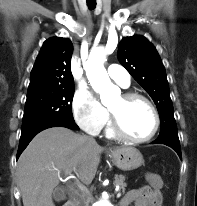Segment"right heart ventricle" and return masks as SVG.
<instances>
[{
	"instance_id": "1",
	"label": "right heart ventricle",
	"mask_w": 197,
	"mask_h": 206,
	"mask_svg": "<svg viewBox=\"0 0 197 206\" xmlns=\"http://www.w3.org/2000/svg\"><path fill=\"white\" fill-rule=\"evenodd\" d=\"M106 135H107L108 137H114V136H115V134H114V132H113L110 124H107V127H106Z\"/></svg>"
}]
</instances>
